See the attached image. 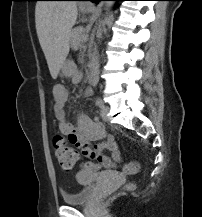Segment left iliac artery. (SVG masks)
Wrapping results in <instances>:
<instances>
[{"instance_id": "obj_1", "label": "left iliac artery", "mask_w": 202, "mask_h": 217, "mask_svg": "<svg viewBox=\"0 0 202 217\" xmlns=\"http://www.w3.org/2000/svg\"><path fill=\"white\" fill-rule=\"evenodd\" d=\"M96 105H97L98 107H102V106L104 105V103H103V101H102L101 98H97V99H96Z\"/></svg>"}]
</instances>
